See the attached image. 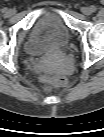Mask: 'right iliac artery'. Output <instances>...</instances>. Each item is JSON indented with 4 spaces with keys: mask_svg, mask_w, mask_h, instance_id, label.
Segmentation results:
<instances>
[{
    "mask_svg": "<svg viewBox=\"0 0 104 137\" xmlns=\"http://www.w3.org/2000/svg\"><path fill=\"white\" fill-rule=\"evenodd\" d=\"M2 12L5 13V14H7L8 13L7 8L2 9Z\"/></svg>",
    "mask_w": 104,
    "mask_h": 137,
    "instance_id": "82829eb1",
    "label": "right iliac artery"
}]
</instances>
